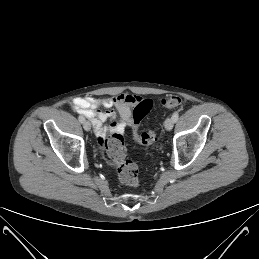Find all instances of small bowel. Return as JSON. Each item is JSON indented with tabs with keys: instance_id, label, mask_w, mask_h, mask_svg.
<instances>
[{
	"instance_id": "small-bowel-1",
	"label": "small bowel",
	"mask_w": 259,
	"mask_h": 259,
	"mask_svg": "<svg viewBox=\"0 0 259 259\" xmlns=\"http://www.w3.org/2000/svg\"><path fill=\"white\" fill-rule=\"evenodd\" d=\"M139 101L140 97L136 95L122 93L103 98L77 97L72 100V106L77 113L90 119L99 143L104 145L109 134L122 133L133 124V109ZM107 120L110 124L104 125Z\"/></svg>"
}]
</instances>
